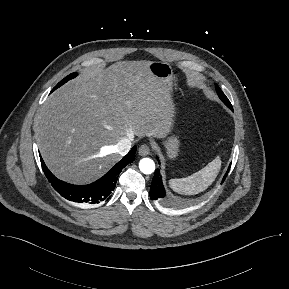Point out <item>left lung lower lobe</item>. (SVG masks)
Listing matches in <instances>:
<instances>
[{
  "instance_id": "0a47b994",
  "label": "left lung lower lobe",
  "mask_w": 289,
  "mask_h": 289,
  "mask_svg": "<svg viewBox=\"0 0 289 289\" xmlns=\"http://www.w3.org/2000/svg\"><path fill=\"white\" fill-rule=\"evenodd\" d=\"M224 102V101H223ZM231 110H233L231 103L229 101L224 102ZM230 166L224 175V178L222 179V182L225 180L228 172H229ZM166 196V192L162 183V177L160 175L159 169H156L154 173V177L151 183L150 188V198L151 200H162Z\"/></svg>"
}]
</instances>
